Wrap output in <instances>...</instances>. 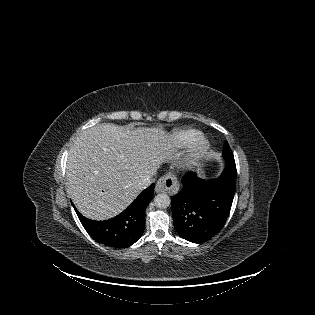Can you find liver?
Returning <instances> with one entry per match:
<instances>
[{
	"mask_svg": "<svg viewBox=\"0 0 315 315\" xmlns=\"http://www.w3.org/2000/svg\"><path fill=\"white\" fill-rule=\"evenodd\" d=\"M174 148L157 127L131 128L111 123L89 128L72 143L66 189L85 217L106 220L122 212L144 189Z\"/></svg>",
	"mask_w": 315,
	"mask_h": 315,
	"instance_id": "6515ba94",
	"label": "liver"
}]
</instances>
